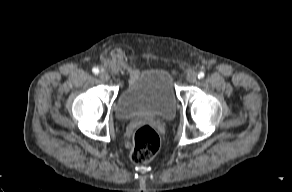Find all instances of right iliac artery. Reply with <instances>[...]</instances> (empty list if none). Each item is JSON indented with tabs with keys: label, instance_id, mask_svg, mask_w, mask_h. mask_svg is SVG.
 <instances>
[{
	"label": "right iliac artery",
	"instance_id": "1",
	"mask_svg": "<svg viewBox=\"0 0 292 192\" xmlns=\"http://www.w3.org/2000/svg\"><path fill=\"white\" fill-rule=\"evenodd\" d=\"M92 72H93L95 75H97V74L99 73V70H98V68L95 67V68L92 69Z\"/></svg>",
	"mask_w": 292,
	"mask_h": 192
}]
</instances>
